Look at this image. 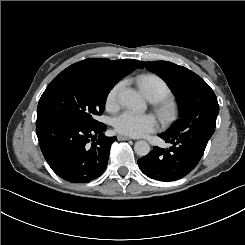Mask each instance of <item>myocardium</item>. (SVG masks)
<instances>
[{"mask_svg": "<svg viewBox=\"0 0 245 245\" xmlns=\"http://www.w3.org/2000/svg\"><path fill=\"white\" fill-rule=\"evenodd\" d=\"M160 112L164 119H169L172 113V103L167 99H162L160 102Z\"/></svg>", "mask_w": 245, "mask_h": 245, "instance_id": "1", "label": "myocardium"}]
</instances>
